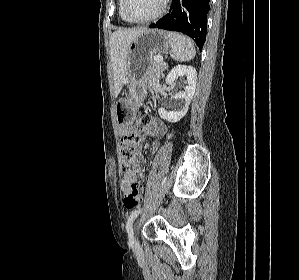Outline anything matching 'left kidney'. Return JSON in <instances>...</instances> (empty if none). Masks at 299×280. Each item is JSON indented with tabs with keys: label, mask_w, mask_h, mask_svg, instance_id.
<instances>
[{
	"label": "left kidney",
	"mask_w": 299,
	"mask_h": 280,
	"mask_svg": "<svg viewBox=\"0 0 299 280\" xmlns=\"http://www.w3.org/2000/svg\"><path fill=\"white\" fill-rule=\"evenodd\" d=\"M179 77L185 78L187 85L184 88V91H180L172 97L173 108L175 109L172 111H166L164 108H160L158 110L159 116L162 119L172 123L178 122L188 111L196 89V69L192 66L177 65L168 73L165 81L167 84L172 85Z\"/></svg>",
	"instance_id": "1"
}]
</instances>
